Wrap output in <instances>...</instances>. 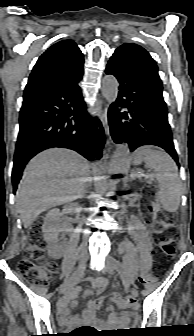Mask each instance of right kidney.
<instances>
[{
  "label": "right kidney",
  "mask_w": 194,
  "mask_h": 336,
  "mask_svg": "<svg viewBox=\"0 0 194 336\" xmlns=\"http://www.w3.org/2000/svg\"><path fill=\"white\" fill-rule=\"evenodd\" d=\"M76 207L74 203H68L64 205L63 210L66 212H71ZM61 212L58 208L50 210L44 219V224L42 227V232L45 241L47 242V249L49 254L54 257H60V250L62 248V243H60L59 233L62 231L61 228Z\"/></svg>",
  "instance_id": "1"
}]
</instances>
